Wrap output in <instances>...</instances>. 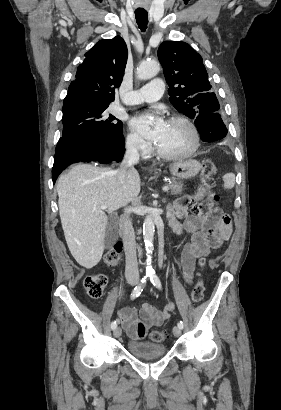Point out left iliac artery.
<instances>
[{"label": "left iliac artery", "instance_id": "left-iliac-artery-1", "mask_svg": "<svg viewBox=\"0 0 281 410\" xmlns=\"http://www.w3.org/2000/svg\"><path fill=\"white\" fill-rule=\"evenodd\" d=\"M150 280H151V283H152L157 289H160V290H161V288H162L161 281H160L159 277L156 275L155 272H153V273L150 274ZM183 325H184V324H183L182 321H180V322L178 323V327H180L181 329L183 328Z\"/></svg>", "mask_w": 281, "mask_h": 410}]
</instances>
